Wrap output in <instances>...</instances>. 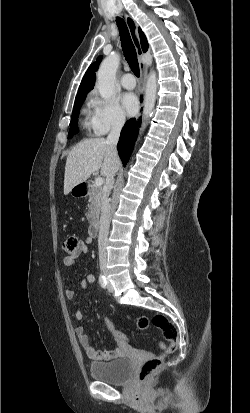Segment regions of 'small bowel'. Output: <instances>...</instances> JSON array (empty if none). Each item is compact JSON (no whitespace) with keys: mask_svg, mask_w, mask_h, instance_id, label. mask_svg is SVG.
<instances>
[{"mask_svg":"<svg viewBox=\"0 0 250 413\" xmlns=\"http://www.w3.org/2000/svg\"><path fill=\"white\" fill-rule=\"evenodd\" d=\"M90 243V239L87 238L85 241H79V249L76 253L66 256L63 259V263L67 268H73L76 265V259L83 253H86L88 250L87 244ZM95 277L92 274H88L81 282V287L85 289L87 284L94 283ZM76 292L74 289L68 288L65 290V297L68 300H72L75 298ZM75 318L77 320H81L83 318V313L81 309H77L75 312ZM110 331V330H109ZM76 336L79 340L80 345L86 351L88 357L94 361H109L116 357H118L123 347L125 346V341H115L117 343L116 348L113 350H97L91 344L89 336L86 334L85 329L83 326H78L75 329Z\"/></svg>","mask_w":250,"mask_h":413,"instance_id":"c3829d8e","label":"small bowel"}]
</instances>
